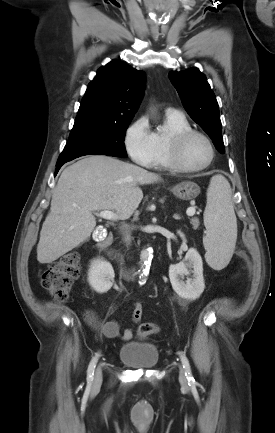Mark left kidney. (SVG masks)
Listing matches in <instances>:
<instances>
[{
	"mask_svg": "<svg viewBox=\"0 0 275 433\" xmlns=\"http://www.w3.org/2000/svg\"><path fill=\"white\" fill-rule=\"evenodd\" d=\"M184 261H189V264ZM175 265L169 267V278L173 290L182 298L195 300L200 297L204 291V277H203V262L200 254L196 249L190 248L186 253L185 259ZM188 266L193 267V280L183 282L180 276L189 275Z\"/></svg>",
	"mask_w": 275,
	"mask_h": 433,
	"instance_id": "5707ae66",
	"label": "left kidney"
}]
</instances>
